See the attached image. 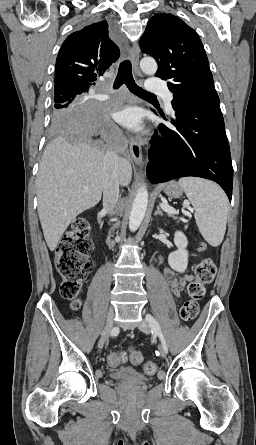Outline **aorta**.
Instances as JSON below:
<instances>
[{
    "label": "aorta",
    "instance_id": "762f6f07",
    "mask_svg": "<svg viewBox=\"0 0 256 445\" xmlns=\"http://www.w3.org/2000/svg\"><path fill=\"white\" fill-rule=\"evenodd\" d=\"M141 70L147 75H154L157 63L153 58H143L140 61ZM148 206V191L145 185L141 186L134 199L129 216V229L135 232L141 225Z\"/></svg>",
    "mask_w": 256,
    "mask_h": 445
}]
</instances>
